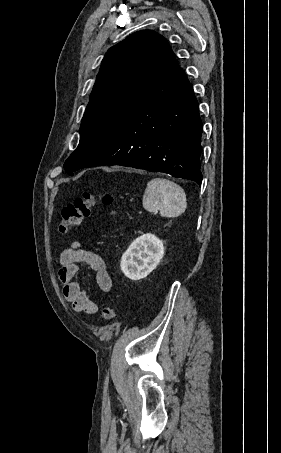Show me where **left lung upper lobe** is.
<instances>
[{"instance_id": "5c2ea615", "label": "left lung upper lobe", "mask_w": 281, "mask_h": 453, "mask_svg": "<svg viewBox=\"0 0 281 453\" xmlns=\"http://www.w3.org/2000/svg\"><path fill=\"white\" fill-rule=\"evenodd\" d=\"M171 48L152 30L131 34L101 63L80 127V142L64 163L73 171L90 163L115 136L160 73Z\"/></svg>"}]
</instances>
